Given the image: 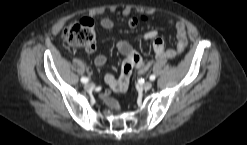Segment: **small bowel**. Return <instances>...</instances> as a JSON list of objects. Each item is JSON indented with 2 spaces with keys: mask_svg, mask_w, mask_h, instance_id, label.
Instances as JSON below:
<instances>
[{
  "mask_svg": "<svg viewBox=\"0 0 247 145\" xmlns=\"http://www.w3.org/2000/svg\"><path fill=\"white\" fill-rule=\"evenodd\" d=\"M170 24L174 25L176 30V46L175 48L165 49V44L163 39L158 37V33L155 30H150L145 33L144 38L146 40L152 41V47L155 53V58L157 62H162L166 59H172L177 55L181 54L185 48L187 47L188 40H187V32L185 23L182 21H169ZM100 25L102 28L109 30L114 27V22L110 18H103L100 21ZM118 51L124 56V62L129 60L133 55L138 57V62L133 63L130 69V74H132V70L136 68L139 72L144 73L146 72L149 67L151 66V62L143 60L133 49L130 43L127 41H119L117 43ZM85 50L88 53H93L96 50V45L93 43L90 46L86 47ZM107 58L103 54H99L94 59V64L97 67H102L105 65ZM88 72H91L90 68H87ZM130 78L124 79L122 73L118 78H116L113 74H106L105 75V82L108 85V90H106L102 96L105 104L109 109L115 111L116 113L121 112L120 104L114 100L109 98V94L111 91L113 92H124L127 90L130 82Z\"/></svg>",
  "mask_w": 247,
  "mask_h": 145,
  "instance_id": "c3829d8e",
  "label": "small bowel"
}]
</instances>
